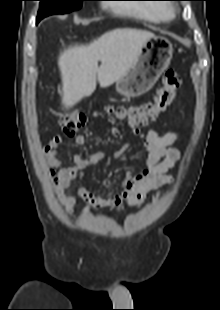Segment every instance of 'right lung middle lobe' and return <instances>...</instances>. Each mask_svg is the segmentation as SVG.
Segmentation results:
<instances>
[{
  "label": "right lung middle lobe",
  "mask_w": 220,
  "mask_h": 310,
  "mask_svg": "<svg viewBox=\"0 0 220 310\" xmlns=\"http://www.w3.org/2000/svg\"><path fill=\"white\" fill-rule=\"evenodd\" d=\"M87 0H40L38 17L43 19L52 14H64L78 10Z\"/></svg>",
  "instance_id": "obj_1"
}]
</instances>
